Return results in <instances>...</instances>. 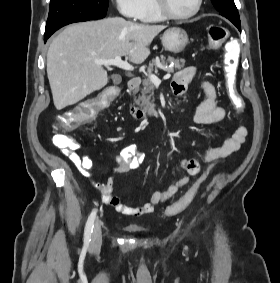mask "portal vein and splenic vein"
Instances as JSON below:
<instances>
[{
  "label": "portal vein and splenic vein",
  "instance_id": "18ae733b",
  "mask_svg": "<svg viewBox=\"0 0 280 283\" xmlns=\"http://www.w3.org/2000/svg\"><path fill=\"white\" fill-rule=\"evenodd\" d=\"M95 63L98 65H104V66H109V65H114L117 66L121 69H124L126 71H133L134 67L129 64L127 61H123L121 59V56H116L113 59H105V60H95ZM157 73V71H156ZM150 80L152 81V83H160V79L155 75V74H151L150 75Z\"/></svg>",
  "mask_w": 280,
  "mask_h": 283
}]
</instances>
